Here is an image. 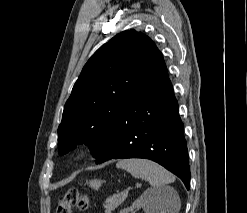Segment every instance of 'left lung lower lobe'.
<instances>
[{"label": "left lung lower lobe", "mask_w": 247, "mask_h": 213, "mask_svg": "<svg viewBox=\"0 0 247 213\" xmlns=\"http://www.w3.org/2000/svg\"><path fill=\"white\" fill-rule=\"evenodd\" d=\"M124 158L153 160L177 175L189 190L184 125L164 61L148 69L136 95L125 103L96 163Z\"/></svg>", "instance_id": "1"}]
</instances>
